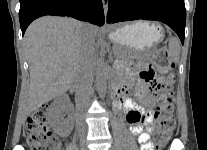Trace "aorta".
I'll return each instance as SVG.
<instances>
[{
  "instance_id": "1",
  "label": "aorta",
  "mask_w": 207,
  "mask_h": 150,
  "mask_svg": "<svg viewBox=\"0 0 207 150\" xmlns=\"http://www.w3.org/2000/svg\"><path fill=\"white\" fill-rule=\"evenodd\" d=\"M108 69L105 61L100 57L96 62V87L101 97H104L107 91Z\"/></svg>"
}]
</instances>
